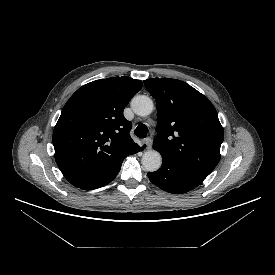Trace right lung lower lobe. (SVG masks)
<instances>
[{"mask_svg":"<svg viewBox=\"0 0 275 275\" xmlns=\"http://www.w3.org/2000/svg\"><path fill=\"white\" fill-rule=\"evenodd\" d=\"M142 150H143V148L139 147V149L136 150L135 153L142 151ZM120 168H121V165L119 167H117L116 169H114L110 174H108L102 178H99L95 181H92L88 184H85L79 188L85 189V190H92V189L103 187V186L107 185L108 183H110L117 176L118 172L120 171Z\"/></svg>","mask_w":275,"mask_h":275,"instance_id":"obj_1","label":"right lung lower lobe"}]
</instances>
